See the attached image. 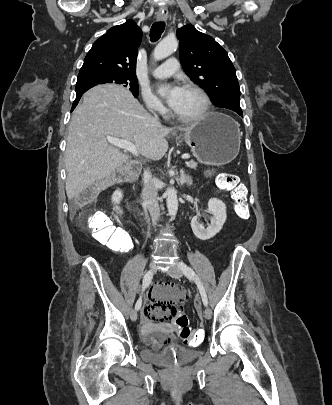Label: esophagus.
Masks as SVG:
<instances>
[{"label":"esophagus","instance_id":"1","mask_svg":"<svg viewBox=\"0 0 332 405\" xmlns=\"http://www.w3.org/2000/svg\"><path fill=\"white\" fill-rule=\"evenodd\" d=\"M168 17V11L167 10H159L157 12V19L158 20H165Z\"/></svg>","mask_w":332,"mask_h":405}]
</instances>
